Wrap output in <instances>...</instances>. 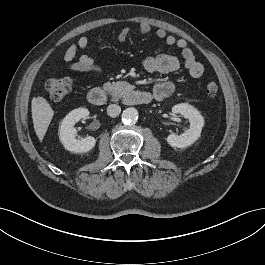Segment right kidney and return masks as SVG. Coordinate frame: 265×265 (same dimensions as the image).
Instances as JSON below:
<instances>
[{"label": "right kidney", "mask_w": 265, "mask_h": 265, "mask_svg": "<svg viewBox=\"0 0 265 265\" xmlns=\"http://www.w3.org/2000/svg\"><path fill=\"white\" fill-rule=\"evenodd\" d=\"M89 116V111L86 108H78L68 113L59 128V139L65 149L74 153L88 152L96 144L94 137H86L84 139H76V129L74 125L80 119H86Z\"/></svg>", "instance_id": "right-kidney-1"}]
</instances>
